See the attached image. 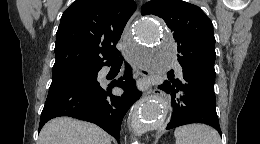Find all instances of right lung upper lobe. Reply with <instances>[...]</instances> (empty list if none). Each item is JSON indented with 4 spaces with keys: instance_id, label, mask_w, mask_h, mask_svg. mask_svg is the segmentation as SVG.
<instances>
[{
    "instance_id": "cb5924a9",
    "label": "right lung upper lobe",
    "mask_w": 260,
    "mask_h": 144,
    "mask_svg": "<svg viewBox=\"0 0 260 144\" xmlns=\"http://www.w3.org/2000/svg\"><path fill=\"white\" fill-rule=\"evenodd\" d=\"M135 10L133 0H76L61 17L53 71L110 64Z\"/></svg>"
}]
</instances>
